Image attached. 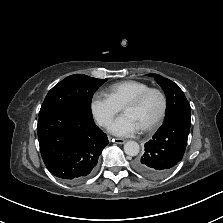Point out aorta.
<instances>
[{"label": "aorta", "mask_w": 223, "mask_h": 223, "mask_svg": "<svg viewBox=\"0 0 223 223\" xmlns=\"http://www.w3.org/2000/svg\"><path fill=\"white\" fill-rule=\"evenodd\" d=\"M139 144L135 141H127L124 144V152L129 156H136L139 153Z\"/></svg>", "instance_id": "1"}]
</instances>
